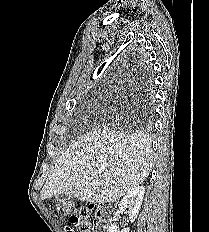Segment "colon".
<instances>
[{"label":"colon","mask_w":209,"mask_h":232,"mask_svg":"<svg viewBox=\"0 0 209 232\" xmlns=\"http://www.w3.org/2000/svg\"><path fill=\"white\" fill-rule=\"evenodd\" d=\"M77 230L79 232H92V223L90 220V213L87 209L75 210L70 217L69 232Z\"/></svg>","instance_id":"1"}]
</instances>
